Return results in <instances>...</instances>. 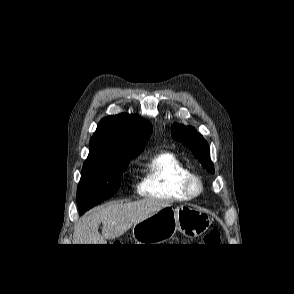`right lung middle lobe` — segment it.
<instances>
[{
    "label": "right lung middle lobe",
    "mask_w": 294,
    "mask_h": 294,
    "mask_svg": "<svg viewBox=\"0 0 294 294\" xmlns=\"http://www.w3.org/2000/svg\"><path fill=\"white\" fill-rule=\"evenodd\" d=\"M131 157L134 156L123 153L89 154L77 190L80 211L89 210L117 192Z\"/></svg>",
    "instance_id": "dd1d6c3e"
}]
</instances>
